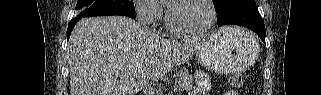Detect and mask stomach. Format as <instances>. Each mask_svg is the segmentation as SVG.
Segmentation results:
<instances>
[{"label":"stomach","instance_id":"obj_1","mask_svg":"<svg viewBox=\"0 0 321 95\" xmlns=\"http://www.w3.org/2000/svg\"><path fill=\"white\" fill-rule=\"evenodd\" d=\"M259 52V42L252 33L225 27L213 33L200 45L197 58L209 70L232 74L251 66Z\"/></svg>","mask_w":321,"mask_h":95}]
</instances>
